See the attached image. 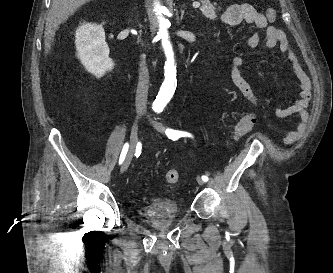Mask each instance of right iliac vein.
I'll use <instances>...</instances> for the list:
<instances>
[{"label": "right iliac vein", "mask_w": 333, "mask_h": 273, "mask_svg": "<svg viewBox=\"0 0 333 273\" xmlns=\"http://www.w3.org/2000/svg\"><path fill=\"white\" fill-rule=\"evenodd\" d=\"M138 127H139V116L137 117V119L135 120V122L132 126L131 135H130V147H129L127 156L121 166V169H120L121 173H124L128 169L130 162L132 160L133 153L135 151V148H136V145L138 142Z\"/></svg>", "instance_id": "obj_1"}]
</instances>
